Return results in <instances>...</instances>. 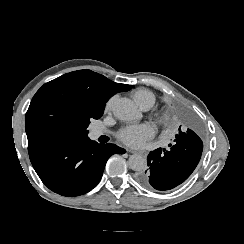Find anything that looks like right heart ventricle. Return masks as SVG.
Returning a JSON list of instances; mask_svg holds the SVG:
<instances>
[{"label":"right heart ventricle","mask_w":244,"mask_h":244,"mask_svg":"<svg viewBox=\"0 0 244 244\" xmlns=\"http://www.w3.org/2000/svg\"><path fill=\"white\" fill-rule=\"evenodd\" d=\"M131 96L139 108L148 106L149 109L155 104L154 94L147 89H137L131 92Z\"/></svg>","instance_id":"e07e8e85"}]
</instances>
